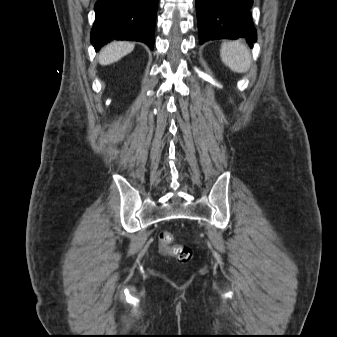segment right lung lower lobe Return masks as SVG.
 I'll return each instance as SVG.
<instances>
[{"instance_id":"right-lung-lower-lobe-1","label":"right lung lower lobe","mask_w":337,"mask_h":337,"mask_svg":"<svg viewBox=\"0 0 337 337\" xmlns=\"http://www.w3.org/2000/svg\"><path fill=\"white\" fill-rule=\"evenodd\" d=\"M158 0H97L91 42L96 50L112 40H135L154 46Z\"/></svg>"}]
</instances>
